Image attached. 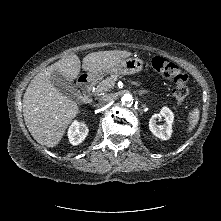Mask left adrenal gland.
<instances>
[{"instance_id": "1", "label": "left adrenal gland", "mask_w": 221, "mask_h": 221, "mask_svg": "<svg viewBox=\"0 0 221 221\" xmlns=\"http://www.w3.org/2000/svg\"><path fill=\"white\" fill-rule=\"evenodd\" d=\"M144 93H147L146 91H142V92H140V94H144Z\"/></svg>"}]
</instances>
